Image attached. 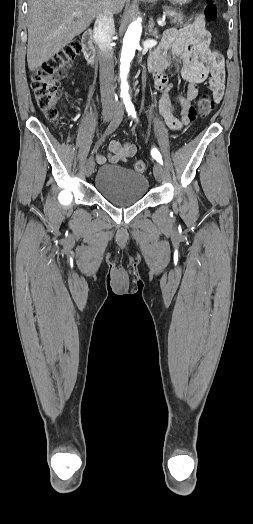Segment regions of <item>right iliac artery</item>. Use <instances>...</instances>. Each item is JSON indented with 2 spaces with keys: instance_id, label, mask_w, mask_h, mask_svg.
<instances>
[{
  "instance_id": "obj_1",
  "label": "right iliac artery",
  "mask_w": 253,
  "mask_h": 524,
  "mask_svg": "<svg viewBox=\"0 0 253 524\" xmlns=\"http://www.w3.org/2000/svg\"><path fill=\"white\" fill-rule=\"evenodd\" d=\"M123 113L124 111L116 113V115L114 116L110 124L108 125L107 129L105 130L103 137L99 141L96 142L93 150L91 151L90 158H92L94 153L98 150L99 146L102 144L106 136L114 132L117 129V127L120 125L122 118H123Z\"/></svg>"
}]
</instances>
